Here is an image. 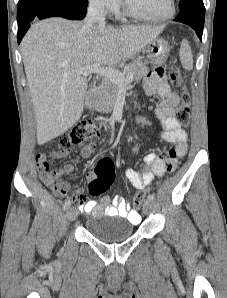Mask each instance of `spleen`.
<instances>
[{"instance_id": "3e777b00", "label": "spleen", "mask_w": 227, "mask_h": 298, "mask_svg": "<svg viewBox=\"0 0 227 298\" xmlns=\"http://www.w3.org/2000/svg\"><path fill=\"white\" fill-rule=\"evenodd\" d=\"M179 56H180V61H181L182 67L187 71L192 70L193 69V55H192V51H191L189 42L186 39H183V41L181 43Z\"/></svg>"}]
</instances>
